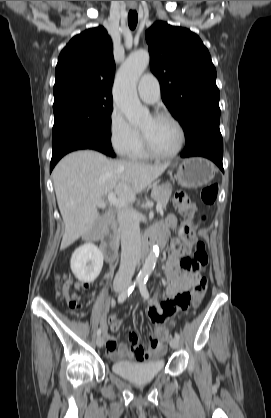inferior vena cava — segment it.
Returning <instances> with one entry per match:
<instances>
[{"mask_svg": "<svg viewBox=\"0 0 271 418\" xmlns=\"http://www.w3.org/2000/svg\"><path fill=\"white\" fill-rule=\"evenodd\" d=\"M117 221L121 230V263L114 284L131 282L141 251L139 224L128 208L118 211Z\"/></svg>", "mask_w": 271, "mask_h": 418, "instance_id": "1", "label": "inferior vena cava"}]
</instances>
